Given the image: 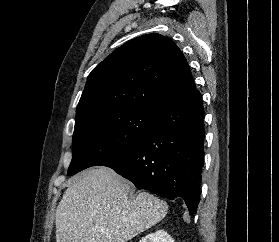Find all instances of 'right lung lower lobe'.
Wrapping results in <instances>:
<instances>
[{
  "instance_id": "obj_1",
  "label": "right lung lower lobe",
  "mask_w": 279,
  "mask_h": 242,
  "mask_svg": "<svg viewBox=\"0 0 279 242\" xmlns=\"http://www.w3.org/2000/svg\"><path fill=\"white\" fill-rule=\"evenodd\" d=\"M202 96L158 113L153 130L133 147L101 165L114 169L138 189L184 199L190 214L200 199L204 158Z\"/></svg>"
}]
</instances>
